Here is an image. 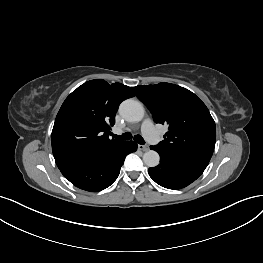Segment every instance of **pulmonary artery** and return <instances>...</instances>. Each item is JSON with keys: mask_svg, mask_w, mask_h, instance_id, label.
Returning a JSON list of instances; mask_svg holds the SVG:
<instances>
[{"mask_svg": "<svg viewBox=\"0 0 263 263\" xmlns=\"http://www.w3.org/2000/svg\"><path fill=\"white\" fill-rule=\"evenodd\" d=\"M142 132L147 139V141L151 144H158L160 142V136L156 129L154 128V125L150 119L144 120L142 124Z\"/></svg>", "mask_w": 263, "mask_h": 263, "instance_id": "pulmonary-artery-1", "label": "pulmonary artery"}]
</instances>
